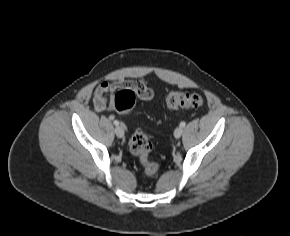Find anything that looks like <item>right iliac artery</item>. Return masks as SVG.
<instances>
[{"label":"right iliac artery","mask_w":290,"mask_h":236,"mask_svg":"<svg viewBox=\"0 0 290 236\" xmlns=\"http://www.w3.org/2000/svg\"><path fill=\"white\" fill-rule=\"evenodd\" d=\"M114 125H116V126H118L119 125V121H117V120H114Z\"/></svg>","instance_id":"1"}]
</instances>
